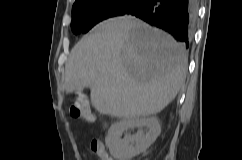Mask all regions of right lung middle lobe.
<instances>
[{"label": "right lung middle lobe", "mask_w": 242, "mask_h": 160, "mask_svg": "<svg viewBox=\"0 0 242 160\" xmlns=\"http://www.w3.org/2000/svg\"><path fill=\"white\" fill-rule=\"evenodd\" d=\"M143 0H82L73 5L71 29L86 33L98 22L124 15Z\"/></svg>", "instance_id": "dd1d6c3e"}]
</instances>
